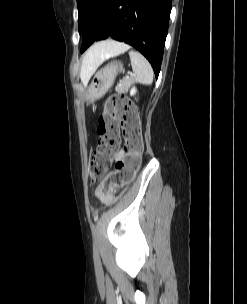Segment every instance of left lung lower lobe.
Listing matches in <instances>:
<instances>
[{
  "label": "left lung lower lobe",
  "instance_id": "1",
  "mask_svg": "<svg viewBox=\"0 0 247 304\" xmlns=\"http://www.w3.org/2000/svg\"><path fill=\"white\" fill-rule=\"evenodd\" d=\"M172 0H107L97 22L83 32L81 52L112 37L135 47L159 75Z\"/></svg>",
  "mask_w": 247,
  "mask_h": 304
}]
</instances>
